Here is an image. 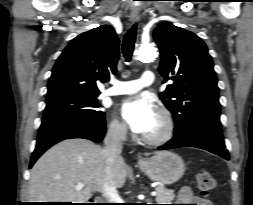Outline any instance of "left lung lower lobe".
I'll return each instance as SVG.
<instances>
[{
    "label": "left lung lower lobe",
    "mask_w": 253,
    "mask_h": 205,
    "mask_svg": "<svg viewBox=\"0 0 253 205\" xmlns=\"http://www.w3.org/2000/svg\"><path fill=\"white\" fill-rule=\"evenodd\" d=\"M179 147L201 148L229 160L220 121L201 119L192 128L182 134H178L175 131L174 137L158 149L168 150Z\"/></svg>",
    "instance_id": "left-lung-lower-lobe-1"
}]
</instances>
